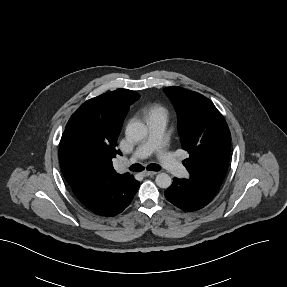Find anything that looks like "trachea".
<instances>
[{"instance_id": "1", "label": "trachea", "mask_w": 287, "mask_h": 287, "mask_svg": "<svg viewBox=\"0 0 287 287\" xmlns=\"http://www.w3.org/2000/svg\"><path fill=\"white\" fill-rule=\"evenodd\" d=\"M128 169L133 172H140L144 169V167L140 164H133ZM160 169L161 167L158 164H149L147 166V170L150 171H159Z\"/></svg>"}]
</instances>
